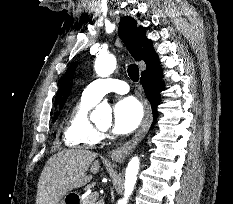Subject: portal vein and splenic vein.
<instances>
[{"instance_id":"1","label":"portal vein and splenic vein","mask_w":233,"mask_h":204,"mask_svg":"<svg viewBox=\"0 0 233 204\" xmlns=\"http://www.w3.org/2000/svg\"><path fill=\"white\" fill-rule=\"evenodd\" d=\"M93 195L95 196V197H98V192L97 191H95V192H93Z\"/></svg>"}]
</instances>
